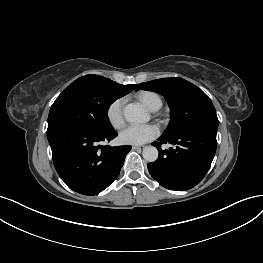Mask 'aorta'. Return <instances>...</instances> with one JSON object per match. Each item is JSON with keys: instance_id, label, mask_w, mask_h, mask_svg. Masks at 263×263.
Returning <instances> with one entry per match:
<instances>
[{"instance_id": "1", "label": "aorta", "mask_w": 263, "mask_h": 263, "mask_svg": "<svg viewBox=\"0 0 263 263\" xmlns=\"http://www.w3.org/2000/svg\"><path fill=\"white\" fill-rule=\"evenodd\" d=\"M123 115L128 122L145 123L150 120V115L140 103H130L125 106ZM158 150L154 146H146L143 149V158L148 162H155L158 158Z\"/></svg>"}]
</instances>
